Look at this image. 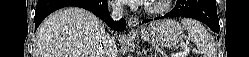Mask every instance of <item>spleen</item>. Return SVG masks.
<instances>
[{
	"label": "spleen",
	"instance_id": "1",
	"mask_svg": "<svg viewBox=\"0 0 249 57\" xmlns=\"http://www.w3.org/2000/svg\"><path fill=\"white\" fill-rule=\"evenodd\" d=\"M181 23L186 27L189 39L203 51L204 57H216V48L213 37L206 28L198 21L184 18Z\"/></svg>",
	"mask_w": 249,
	"mask_h": 57
}]
</instances>
